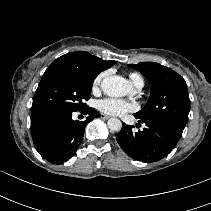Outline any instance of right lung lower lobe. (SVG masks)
Instances as JSON below:
<instances>
[{
	"label": "right lung lower lobe",
	"instance_id": "1",
	"mask_svg": "<svg viewBox=\"0 0 211 211\" xmlns=\"http://www.w3.org/2000/svg\"><path fill=\"white\" fill-rule=\"evenodd\" d=\"M80 112L85 121H74L72 113L47 112L31 114V133L38 153L53 164H62L75 155L84 136L87 121L100 117L91 107Z\"/></svg>",
	"mask_w": 211,
	"mask_h": 211
}]
</instances>
